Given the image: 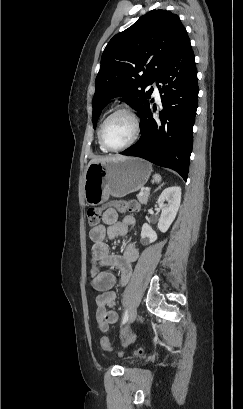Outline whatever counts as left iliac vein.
Wrapping results in <instances>:
<instances>
[{"label": "left iliac vein", "mask_w": 243, "mask_h": 409, "mask_svg": "<svg viewBox=\"0 0 243 409\" xmlns=\"http://www.w3.org/2000/svg\"><path fill=\"white\" fill-rule=\"evenodd\" d=\"M136 316H137V309H136V307H134L130 312V316H129V319H128L129 324L134 322V320L136 319Z\"/></svg>", "instance_id": "1"}]
</instances>
